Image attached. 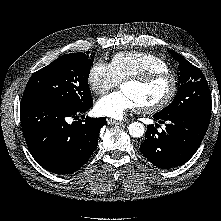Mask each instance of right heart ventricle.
<instances>
[{"label": "right heart ventricle", "mask_w": 221, "mask_h": 221, "mask_svg": "<svg viewBox=\"0 0 221 221\" xmlns=\"http://www.w3.org/2000/svg\"><path fill=\"white\" fill-rule=\"evenodd\" d=\"M110 65L120 82L150 71L169 70L163 58L141 51L119 52L112 57Z\"/></svg>", "instance_id": "1"}]
</instances>
